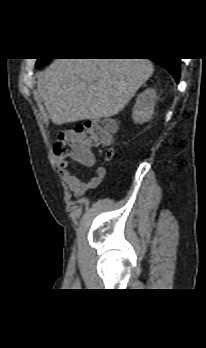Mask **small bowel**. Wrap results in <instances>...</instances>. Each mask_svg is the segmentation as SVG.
Returning a JSON list of instances; mask_svg holds the SVG:
<instances>
[{"label": "small bowel", "mask_w": 206, "mask_h": 348, "mask_svg": "<svg viewBox=\"0 0 206 348\" xmlns=\"http://www.w3.org/2000/svg\"><path fill=\"white\" fill-rule=\"evenodd\" d=\"M57 162L64 182L67 184L70 191L77 197L100 186L106 175V168L104 166H98L94 176L82 180L71 174L68 161L58 158ZM94 163L95 160L87 165L91 166Z\"/></svg>", "instance_id": "c3829d8e"}]
</instances>
